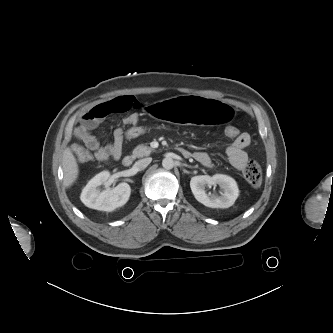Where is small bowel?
Listing matches in <instances>:
<instances>
[{"label":"small bowel","mask_w":333,"mask_h":333,"mask_svg":"<svg viewBox=\"0 0 333 333\" xmlns=\"http://www.w3.org/2000/svg\"><path fill=\"white\" fill-rule=\"evenodd\" d=\"M141 104L133 96H120L112 100L97 104L84 112L81 116L80 125L75 130V135L83 146H75L76 149L84 150L90 153L99 161L106 162L109 159H119L122 156L123 137L122 130L125 126L139 121L137 112H132L140 109ZM123 118L122 126L116 128L113 133V139L106 145H101L92 131L106 117L116 113H128ZM250 136L247 133H241L228 146L226 154L230 164L238 169L243 170L247 161L248 155L246 148L250 144ZM193 158L200 164L210 167L212 161L210 156L205 152H195Z\"/></svg>","instance_id":"c3829d8e"}]
</instances>
